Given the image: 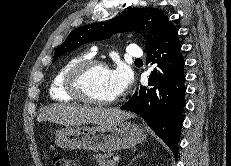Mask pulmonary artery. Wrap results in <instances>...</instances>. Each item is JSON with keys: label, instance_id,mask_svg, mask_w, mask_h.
Listing matches in <instances>:
<instances>
[{"label": "pulmonary artery", "instance_id": "1", "mask_svg": "<svg viewBox=\"0 0 231 166\" xmlns=\"http://www.w3.org/2000/svg\"><path fill=\"white\" fill-rule=\"evenodd\" d=\"M97 49L93 48L92 53L96 54ZM126 54L132 58H141L143 56L142 51L136 44H130L126 47Z\"/></svg>", "mask_w": 231, "mask_h": 166}]
</instances>
